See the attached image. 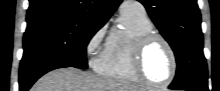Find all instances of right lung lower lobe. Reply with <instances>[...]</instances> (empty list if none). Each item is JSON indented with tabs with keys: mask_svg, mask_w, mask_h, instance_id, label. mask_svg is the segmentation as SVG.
<instances>
[{
	"mask_svg": "<svg viewBox=\"0 0 220 91\" xmlns=\"http://www.w3.org/2000/svg\"><path fill=\"white\" fill-rule=\"evenodd\" d=\"M64 67H70V65L60 61L47 62L36 67L34 70L19 75L20 91H27L33 85V83L45 73L57 68H64Z\"/></svg>",
	"mask_w": 220,
	"mask_h": 91,
	"instance_id": "98d812e1",
	"label": "right lung lower lobe"
}]
</instances>
